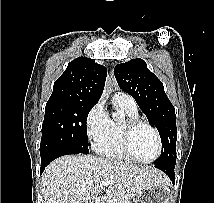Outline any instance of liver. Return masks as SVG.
<instances>
[{"label":"liver","mask_w":214,"mask_h":203,"mask_svg":"<svg viewBox=\"0 0 214 203\" xmlns=\"http://www.w3.org/2000/svg\"><path fill=\"white\" fill-rule=\"evenodd\" d=\"M106 180L113 181L105 190L109 198L128 201L167 179L151 167L91 155H67L46 167L41 181L43 203H91L102 191L100 182Z\"/></svg>","instance_id":"6515ba94"}]
</instances>
